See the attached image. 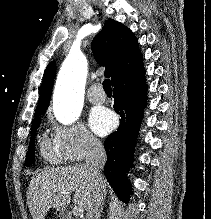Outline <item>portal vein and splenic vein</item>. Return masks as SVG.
Wrapping results in <instances>:
<instances>
[{
	"label": "portal vein and splenic vein",
	"mask_w": 211,
	"mask_h": 219,
	"mask_svg": "<svg viewBox=\"0 0 211 219\" xmlns=\"http://www.w3.org/2000/svg\"><path fill=\"white\" fill-rule=\"evenodd\" d=\"M81 212H82V209H79V208L76 207V206L74 207V210H73V214H74V215L77 216V215H79Z\"/></svg>",
	"instance_id": "obj_1"
}]
</instances>
